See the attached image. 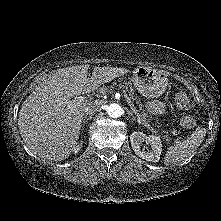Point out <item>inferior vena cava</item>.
<instances>
[{
  "instance_id": "1",
  "label": "inferior vena cava",
  "mask_w": 221,
  "mask_h": 221,
  "mask_svg": "<svg viewBox=\"0 0 221 221\" xmlns=\"http://www.w3.org/2000/svg\"><path fill=\"white\" fill-rule=\"evenodd\" d=\"M101 107V103L99 101H94L93 103H90L84 110L86 115H92L96 111H98Z\"/></svg>"
}]
</instances>
